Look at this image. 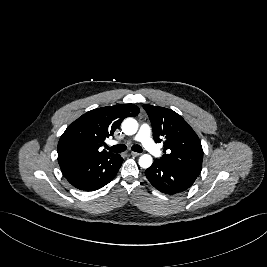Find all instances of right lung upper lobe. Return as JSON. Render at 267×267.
I'll return each instance as SVG.
<instances>
[{"label":"right lung upper lobe","mask_w":267,"mask_h":267,"mask_svg":"<svg viewBox=\"0 0 267 267\" xmlns=\"http://www.w3.org/2000/svg\"><path fill=\"white\" fill-rule=\"evenodd\" d=\"M139 111L134 104H119L83 114L67 127L59 140L57 152L60 167L113 155L99 148L107 137L114 134L125 118L134 117Z\"/></svg>","instance_id":"1"}]
</instances>
